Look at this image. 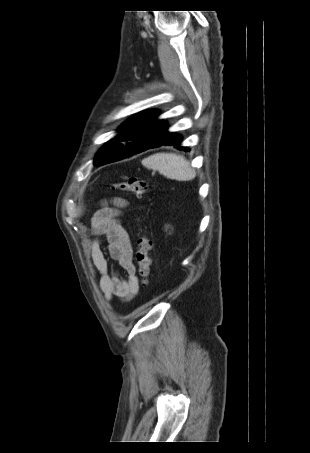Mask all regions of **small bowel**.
<instances>
[{
	"label": "small bowel",
	"instance_id": "c3829d8e",
	"mask_svg": "<svg viewBox=\"0 0 310 453\" xmlns=\"http://www.w3.org/2000/svg\"><path fill=\"white\" fill-rule=\"evenodd\" d=\"M113 206L104 205L93 215L91 227L96 236L105 235L108 242V252L112 260L124 270L125 277L109 268L108 261L96 237L88 245L91 261L99 273V288L106 301L114 297L122 301H130L139 290V281L133 262V245L130 234L120 220V209L127 203L122 198H114Z\"/></svg>",
	"mask_w": 310,
	"mask_h": 453
}]
</instances>
